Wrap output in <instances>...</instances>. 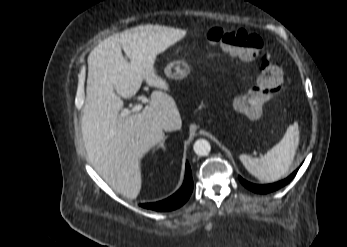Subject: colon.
<instances>
[{
  "label": "colon",
  "instance_id": "obj_1",
  "mask_svg": "<svg viewBox=\"0 0 347 247\" xmlns=\"http://www.w3.org/2000/svg\"><path fill=\"white\" fill-rule=\"evenodd\" d=\"M206 40L244 61L257 63L256 87L245 88L244 95L238 97L237 108L245 114L257 117L264 97L279 92L284 84L280 66L272 63L264 51L262 38L244 29H223L214 27L207 31Z\"/></svg>",
  "mask_w": 347,
  "mask_h": 247
}]
</instances>
